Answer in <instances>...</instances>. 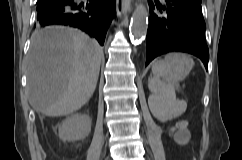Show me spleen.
Returning <instances> with one entry per match:
<instances>
[{"label": "spleen", "instance_id": "obj_1", "mask_svg": "<svg viewBox=\"0 0 242 160\" xmlns=\"http://www.w3.org/2000/svg\"><path fill=\"white\" fill-rule=\"evenodd\" d=\"M180 55L169 54L164 60H159L152 65L153 78L149 80L150 90L157 95V100L172 114L176 112L177 102L175 86L180 79ZM192 63L193 60L191 59Z\"/></svg>", "mask_w": 242, "mask_h": 160}]
</instances>
